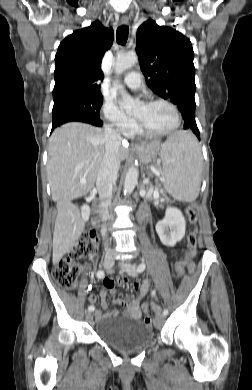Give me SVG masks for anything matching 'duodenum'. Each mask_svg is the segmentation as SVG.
I'll use <instances>...</instances> for the list:
<instances>
[{"label": "duodenum", "instance_id": "1", "mask_svg": "<svg viewBox=\"0 0 252 390\" xmlns=\"http://www.w3.org/2000/svg\"><path fill=\"white\" fill-rule=\"evenodd\" d=\"M103 219H104V212H103V210L99 206H96L95 207L94 220H93L94 225L96 227H101Z\"/></svg>", "mask_w": 252, "mask_h": 390}]
</instances>
